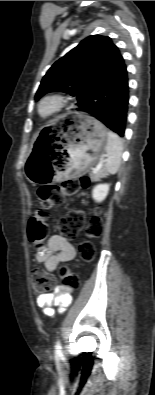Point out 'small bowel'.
I'll list each match as a JSON object with an SVG mask.
<instances>
[{
    "label": "small bowel",
    "instance_id": "obj_1",
    "mask_svg": "<svg viewBox=\"0 0 155 395\" xmlns=\"http://www.w3.org/2000/svg\"><path fill=\"white\" fill-rule=\"evenodd\" d=\"M76 256L75 247L61 235L51 236L47 243L39 247L35 254V260L42 264L49 272L57 269L59 264L69 262ZM72 301L71 289L58 286L52 292L40 294L37 297V305L47 315L54 313V308L64 311Z\"/></svg>",
    "mask_w": 155,
    "mask_h": 395
}]
</instances>
